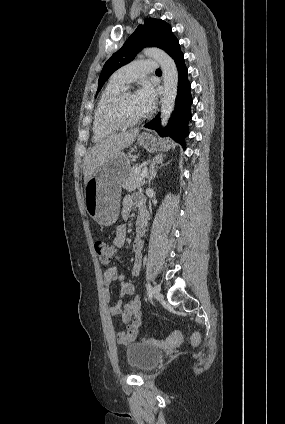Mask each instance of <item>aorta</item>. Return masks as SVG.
I'll list each match as a JSON object with an SVG mask.
<instances>
[{
	"label": "aorta",
	"instance_id": "1",
	"mask_svg": "<svg viewBox=\"0 0 285 424\" xmlns=\"http://www.w3.org/2000/svg\"><path fill=\"white\" fill-rule=\"evenodd\" d=\"M143 54L155 59L161 66L164 78V95L161 104V124L166 126L174 109L178 89V71L173 59L158 48H145Z\"/></svg>",
	"mask_w": 285,
	"mask_h": 424
}]
</instances>
